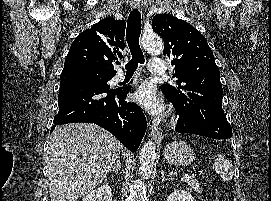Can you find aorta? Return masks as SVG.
I'll return each mask as SVG.
<instances>
[{
    "instance_id": "1",
    "label": "aorta",
    "mask_w": 271,
    "mask_h": 201,
    "mask_svg": "<svg viewBox=\"0 0 271 201\" xmlns=\"http://www.w3.org/2000/svg\"><path fill=\"white\" fill-rule=\"evenodd\" d=\"M142 47L151 53H160L163 49L162 39L156 33H144L141 39ZM156 157V147L152 141L146 142L140 152L139 171L141 177L147 179L153 170Z\"/></svg>"
}]
</instances>
